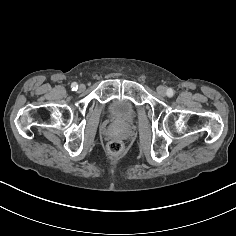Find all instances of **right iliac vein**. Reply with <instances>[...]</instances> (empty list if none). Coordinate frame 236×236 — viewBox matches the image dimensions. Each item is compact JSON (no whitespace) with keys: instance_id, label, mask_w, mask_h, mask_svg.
I'll use <instances>...</instances> for the list:
<instances>
[{"instance_id":"63e3f726","label":"right iliac vein","mask_w":236,"mask_h":236,"mask_svg":"<svg viewBox=\"0 0 236 236\" xmlns=\"http://www.w3.org/2000/svg\"><path fill=\"white\" fill-rule=\"evenodd\" d=\"M84 89V86L83 85H80L79 86V90H83Z\"/></svg>"}]
</instances>
